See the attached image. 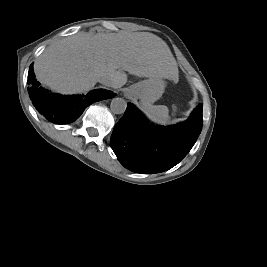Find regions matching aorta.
<instances>
[{
  "label": "aorta",
  "instance_id": "obj_1",
  "mask_svg": "<svg viewBox=\"0 0 267 267\" xmlns=\"http://www.w3.org/2000/svg\"><path fill=\"white\" fill-rule=\"evenodd\" d=\"M127 102L123 98H114L111 101L110 109L114 114H123L126 111Z\"/></svg>",
  "mask_w": 267,
  "mask_h": 267
}]
</instances>
